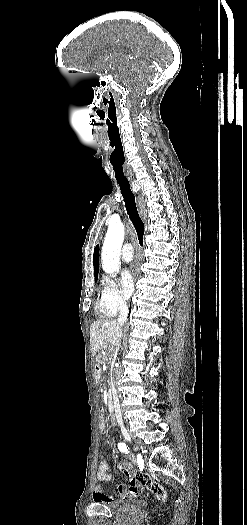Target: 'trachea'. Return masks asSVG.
I'll use <instances>...</instances> for the list:
<instances>
[{
	"label": "trachea",
	"instance_id": "1",
	"mask_svg": "<svg viewBox=\"0 0 247 525\" xmlns=\"http://www.w3.org/2000/svg\"><path fill=\"white\" fill-rule=\"evenodd\" d=\"M117 183L119 184V187L121 189V193L124 199L127 214L136 230L139 244L142 247L143 237H144V223L139 215V212L136 206L135 195L132 193V190L130 188V184L128 181H125V182L118 181Z\"/></svg>",
	"mask_w": 247,
	"mask_h": 525
}]
</instances>
